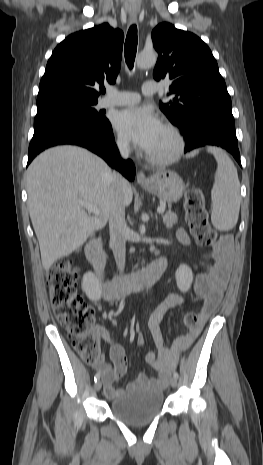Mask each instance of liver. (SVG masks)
I'll list each match as a JSON object with an SVG mask.
<instances>
[{"instance_id": "obj_1", "label": "liver", "mask_w": 263, "mask_h": 465, "mask_svg": "<svg viewBox=\"0 0 263 465\" xmlns=\"http://www.w3.org/2000/svg\"><path fill=\"white\" fill-rule=\"evenodd\" d=\"M113 175L101 158L70 145L48 149L29 165L28 208L45 270L105 227L112 208ZM132 198L128 184L123 189L124 205L129 206ZM80 202L97 206L100 215L90 216Z\"/></svg>"}]
</instances>
